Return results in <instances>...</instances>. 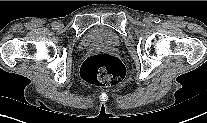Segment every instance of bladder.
Listing matches in <instances>:
<instances>
[{
	"label": "bladder",
	"instance_id": "1",
	"mask_svg": "<svg viewBox=\"0 0 207 123\" xmlns=\"http://www.w3.org/2000/svg\"><path fill=\"white\" fill-rule=\"evenodd\" d=\"M120 42L121 38L115 31L104 26H95L82 36L80 47L82 49L95 47L112 48L118 46Z\"/></svg>",
	"mask_w": 207,
	"mask_h": 123
}]
</instances>
